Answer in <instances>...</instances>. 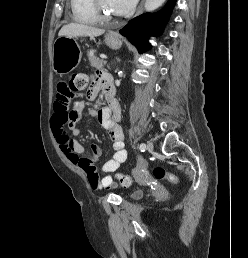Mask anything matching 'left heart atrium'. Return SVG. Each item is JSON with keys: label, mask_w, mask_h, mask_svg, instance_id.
<instances>
[{"label": "left heart atrium", "mask_w": 248, "mask_h": 258, "mask_svg": "<svg viewBox=\"0 0 248 258\" xmlns=\"http://www.w3.org/2000/svg\"><path fill=\"white\" fill-rule=\"evenodd\" d=\"M137 0H108L110 9L117 15H125L135 6Z\"/></svg>", "instance_id": "obj_1"}]
</instances>
